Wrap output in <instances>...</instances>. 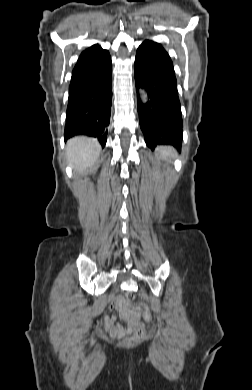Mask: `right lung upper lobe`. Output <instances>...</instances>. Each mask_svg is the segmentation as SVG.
<instances>
[{
  "instance_id": "1",
  "label": "right lung upper lobe",
  "mask_w": 252,
  "mask_h": 390,
  "mask_svg": "<svg viewBox=\"0 0 252 390\" xmlns=\"http://www.w3.org/2000/svg\"><path fill=\"white\" fill-rule=\"evenodd\" d=\"M111 65L112 62L109 52L102 49L99 45H93L81 53L73 70L71 82L81 78L99 75Z\"/></svg>"
}]
</instances>
